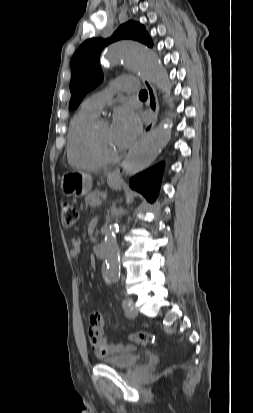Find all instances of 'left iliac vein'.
<instances>
[{
    "label": "left iliac vein",
    "mask_w": 253,
    "mask_h": 413,
    "mask_svg": "<svg viewBox=\"0 0 253 413\" xmlns=\"http://www.w3.org/2000/svg\"><path fill=\"white\" fill-rule=\"evenodd\" d=\"M124 308H125V314H126L127 317L134 318V317L137 316L138 311H137L133 301H131L129 307H124Z\"/></svg>",
    "instance_id": "1"
}]
</instances>
